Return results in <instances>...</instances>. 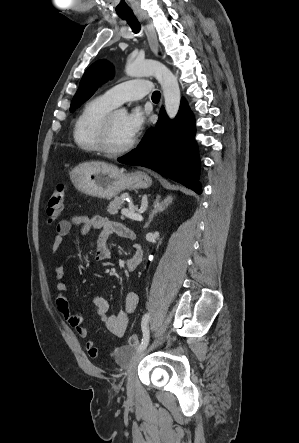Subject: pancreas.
I'll return each mask as SVG.
<instances>
[{"label": "pancreas", "mask_w": 299, "mask_h": 443, "mask_svg": "<svg viewBox=\"0 0 299 443\" xmlns=\"http://www.w3.org/2000/svg\"><path fill=\"white\" fill-rule=\"evenodd\" d=\"M125 197L126 195H121L120 197H115L107 207V211L111 215H115L118 211L125 205ZM137 210V207H134Z\"/></svg>", "instance_id": "1"}]
</instances>
